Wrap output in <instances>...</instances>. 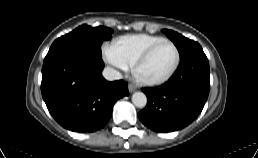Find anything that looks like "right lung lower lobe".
<instances>
[{
	"mask_svg": "<svg viewBox=\"0 0 258 158\" xmlns=\"http://www.w3.org/2000/svg\"><path fill=\"white\" fill-rule=\"evenodd\" d=\"M101 56L65 50L44 59L41 92L52 116L64 128L78 132L101 129L111 118L114 103L129 94L122 80L108 82Z\"/></svg>",
	"mask_w": 258,
	"mask_h": 158,
	"instance_id": "right-lung-lower-lobe-1",
	"label": "right lung lower lobe"
}]
</instances>
